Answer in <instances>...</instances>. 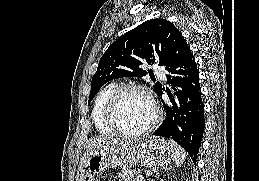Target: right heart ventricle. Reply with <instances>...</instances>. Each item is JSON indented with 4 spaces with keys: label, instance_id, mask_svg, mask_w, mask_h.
Returning a JSON list of instances; mask_svg holds the SVG:
<instances>
[{
    "label": "right heart ventricle",
    "instance_id": "obj_1",
    "mask_svg": "<svg viewBox=\"0 0 259 181\" xmlns=\"http://www.w3.org/2000/svg\"><path fill=\"white\" fill-rule=\"evenodd\" d=\"M117 88L118 85L116 83H110L104 86L102 89H100V91L96 95L92 107L91 118L93 124L97 132L104 136H112L115 134L106 123L105 111L111 96Z\"/></svg>",
    "mask_w": 259,
    "mask_h": 181
}]
</instances>
